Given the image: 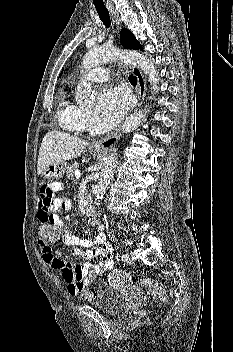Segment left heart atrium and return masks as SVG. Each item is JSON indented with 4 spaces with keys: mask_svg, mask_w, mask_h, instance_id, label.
<instances>
[{
    "mask_svg": "<svg viewBox=\"0 0 233 352\" xmlns=\"http://www.w3.org/2000/svg\"><path fill=\"white\" fill-rule=\"evenodd\" d=\"M129 106V95L120 87L106 88L99 94L95 115L104 127L114 126Z\"/></svg>",
    "mask_w": 233,
    "mask_h": 352,
    "instance_id": "39dd6f15",
    "label": "left heart atrium"
}]
</instances>
